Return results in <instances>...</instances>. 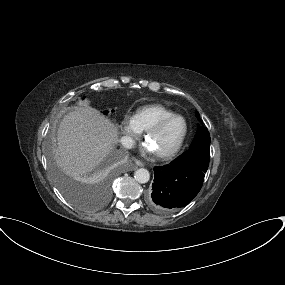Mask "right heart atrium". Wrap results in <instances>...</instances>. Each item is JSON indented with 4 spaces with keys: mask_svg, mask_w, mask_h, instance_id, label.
<instances>
[{
    "mask_svg": "<svg viewBox=\"0 0 285 285\" xmlns=\"http://www.w3.org/2000/svg\"><path fill=\"white\" fill-rule=\"evenodd\" d=\"M121 131L124 136L129 137L132 140L137 139L141 134V131L134 121V118L128 116L122 119Z\"/></svg>",
    "mask_w": 285,
    "mask_h": 285,
    "instance_id": "d8ad5b80",
    "label": "right heart atrium"
}]
</instances>
